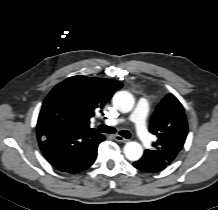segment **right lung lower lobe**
<instances>
[{"mask_svg": "<svg viewBox=\"0 0 218 210\" xmlns=\"http://www.w3.org/2000/svg\"><path fill=\"white\" fill-rule=\"evenodd\" d=\"M37 137L44 157L61 172L70 174L90 167L98 145L105 137L96 131H79L56 126H37Z\"/></svg>", "mask_w": 218, "mask_h": 210, "instance_id": "obj_1", "label": "right lung lower lobe"}]
</instances>
